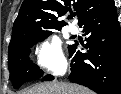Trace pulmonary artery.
<instances>
[{
    "label": "pulmonary artery",
    "mask_w": 121,
    "mask_h": 94,
    "mask_svg": "<svg viewBox=\"0 0 121 94\" xmlns=\"http://www.w3.org/2000/svg\"><path fill=\"white\" fill-rule=\"evenodd\" d=\"M69 31L72 33V34H77L78 33V27L74 24H70L69 25Z\"/></svg>",
    "instance_id": "1"
}]
</instances>
